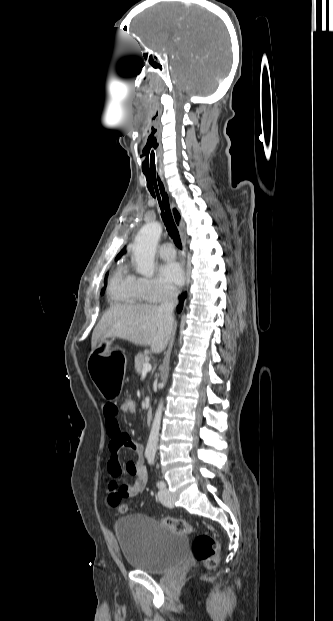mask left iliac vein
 <instances>
[{
    "label": "left iliac vein",
    "mask_w": 333,
    "mask_h": 621,
    "mask_svg": "<svg viewBox=\"0 0 333 621\" xmlns=\"http://www.w3.org/2000/svg\"><path fill=\"white\" fill-rule=\"evenodd\" d=\"M159 500L160 502L166 506V507H173L174 506V500L170 494V492L168 491V489L166 488V486L162 489H160L159 493Z\"/></svg>",
    "instance_id": "4c4485c4"
}]
</instances>
